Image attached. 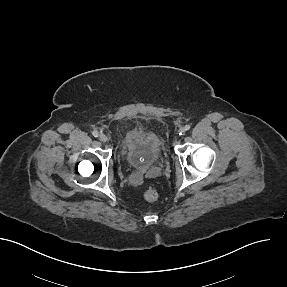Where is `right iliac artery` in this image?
Masks as SVG:
<instances>
[{
	"label": "right iliac artery",
	"mask_w": 287,
	"mask_h": 287,
	"mask_svg": "<svg viewBox=\"0 0 287 287\" xmlns=\"http://www.w3.org/2000/svg\"><path fill=\"white\" fill-rule=\"evenodd\" d=\"M92 135H93L94 137H98V136H99V133H98L97 131H93V132H92Z\"/></svg>",
	"instance_id": "obj_1"
}]
</instances>
